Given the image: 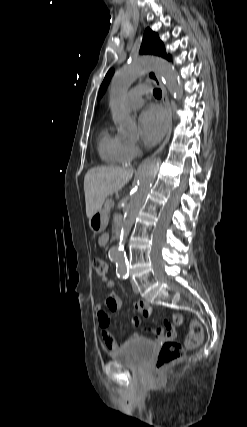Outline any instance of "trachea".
<instances>
[{"label":"trachea","mask_w":247,"mask_h":427,"mask_svg":"<svg viewBox=\"0 0 247 427\" xmlns=\"http://www.w3.org/2000/svg\"><path fill=\"white\" fill-rule=\"evenodd\" d=\"M153 94L155 97H161L162 96V92L160 89H154Z\"/></svg>","instance_id":"1"}]
</instances>
